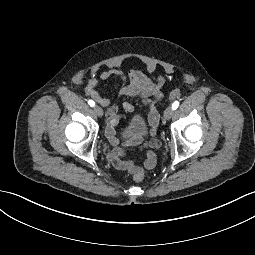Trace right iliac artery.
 <instances>
[{
  "label": "right iliac artery",
  "mask_w": 255,
  "mask_h": 255,
  "mask_svg": "<svg viewBox=\"0 0 255 255\" xmlns=\"http://www.w3.org/2000/svg\"><path fill=\"white\" fill-rule=\"evenodd\" d=\"M88 104H89L91 107H93V106L95 105V102H94L93 100H89V101H88Z\"/></svg>",
  "instance_id": "right-iliac-artery-1"
}]
</instances>
